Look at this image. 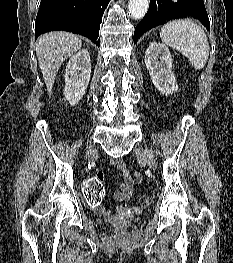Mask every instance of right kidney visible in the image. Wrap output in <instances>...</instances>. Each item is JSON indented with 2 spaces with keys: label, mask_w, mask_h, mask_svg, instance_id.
<instances>
[{
  "label": "right kidney",
  "mask_w": 233,
  "mask_h": 263,
  "mask_svg": "<svg viewBox=\"0 0 233 263\" xmlns=\"http://www.w3.org/2000/svg\"><path fill=\"white\" fill-rule=\"evenodd\" d=\"M91 76V60L87 49L71 57L65 73L64 97L71 106L76 105L85 94Z\"/></svg>",
  "instance_id": "right-kidney-1"
}]
</instances>
